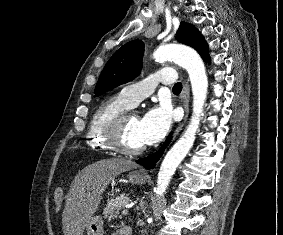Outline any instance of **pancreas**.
I'll return each mask as SVG.
<instances>
[{"label": "pancreas", "mask_w": 283, "mask_h": 235, "mask_svg": "<svg viewBox=\"0 0 283 235\" xmlns=\"http://www.w3.org/2000/svg\"><path fill=\"white\" fill-rule=\"evenodd\" d=\"M129 197L127 194H120L115 198L108 200L106 208L103 211L104 218L107 220H111V218L119 213V210L122 206L128 203Z\"/></svg>", "instance_id": "1"}]
</instances>
